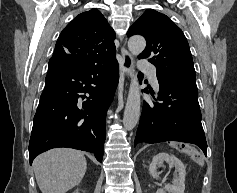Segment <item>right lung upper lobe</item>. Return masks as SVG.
<instances>
[{"mask_svg": "<svg viewBox=\"0 0 237 193\" xmlns=\"http://www.w3.org/2000/svg\"><path fill=\"white\" fill-rule=\"evenodd\" d=\"M115 33L97 9L75 17L61 32L49 63L76 70L115 59Z\"/></svg>", "mask_w": 237, "mask_h": 193, "instance_id": "right-lung-upper-lobe-1", "label": "right lung upper lobe"}]
</instances>
